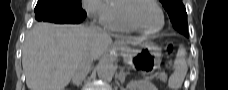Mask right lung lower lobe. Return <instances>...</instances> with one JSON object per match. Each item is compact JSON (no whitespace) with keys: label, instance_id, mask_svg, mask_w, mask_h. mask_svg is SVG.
<instances>
[{"label":"right lung lower lobe","instance_id":"1","mask_svg":"<svg viewBox=\"0 0 228 90\" xmlns=\"http://www.w3.org/2000/svg\"><path fill=\"white\" fill-rule=\"evenodd\" d=\"M86 17V13L81 9L75 14H69L68 11L56 5L55 0H44L38 7H35V19L38 21H47L53 23H81Z\"/></svg>","mask_w":228,"mask_h":90}]
</instances>
